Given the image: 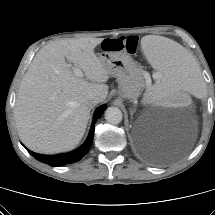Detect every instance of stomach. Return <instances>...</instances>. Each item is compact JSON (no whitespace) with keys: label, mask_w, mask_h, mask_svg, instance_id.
Returning a JSON list of instances; mask_svg holds the SVG:
<instances>
[{"label":"stomach","mask_w":215,"mask_h":215,"mask_svg":"<svg viewBox=\"0 0 215 215\" xmlns=\"http://www.w3.org/2000/svg\"><path fill=\"white\" fill-rule=\"evenodd\" d=\"M99 58L109 74L116 77L120 97L129 100L139 97L145 84L143 71L129 54L123 51H103Z\"/></svg>","instance_id":"obj_1"}]
</instances>
